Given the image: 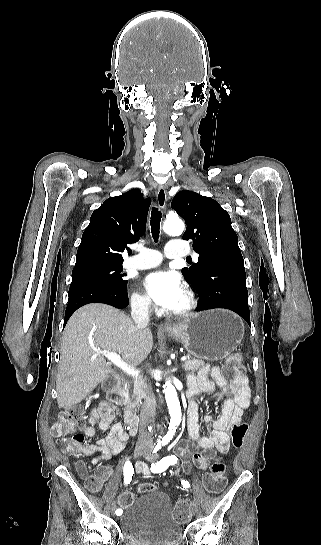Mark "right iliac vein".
Here are the masks:
<instances>
[{"instance_id": "1", "label": "right iliac vein", "mask_w": 321, "mask_h": 545, "mask_svg": "<svg viewBox=\"0 0 321 545\" xmlns=\"http://www.w3.org/2000/svg\"><path fill=\"white\" fill-rule=\"evenodd\" d=\"M147 453L146 449L143 448V447H136L135 450H134V458H140L141 456L145 455ZM115 509H116V505L114 502H112L111 506H110V511H111V514L114 515V512H115Z\"/></svg>"}]
</instances>
